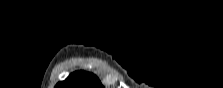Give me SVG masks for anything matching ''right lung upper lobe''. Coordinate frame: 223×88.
<instances>
[{"label":"right lung upper lobe","instance_id":"1","mask_svg":"<svg viewBox=\"0 0 223 88\" xmlns=\"http://www.w3.org/2000/svg\"><path fill=\"white\" fill-rule=\"evenodd\" d=\"M56 88H103L99 79L92 73L77 71L65 81L59 82Z\"/></svg>","mask_w":223,"mask_h":88}]
</instances>
